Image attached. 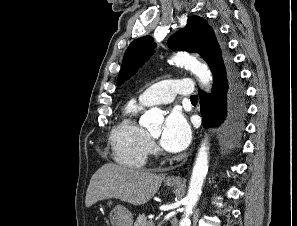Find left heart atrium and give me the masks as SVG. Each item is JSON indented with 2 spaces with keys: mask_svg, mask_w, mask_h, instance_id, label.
Masks as SVG:
<instances>
[{
  "mask_svg": "<svg viewBox=\"0 0 297 226\" xmlns=\"http://www.w3.org/2000/svg\"><path fill=\"white\" fill-rule=\"evenodd\" d=\"M190 139L191 130L184 116L177 111L171 112L160 136L161 147L168 152H180L188 146Z\"/></svg>",
  "mask_w": 297,
  "mask_h": 226,
  "instance_id": "1",
  "label": "left heart atrium"
}]
</instances>
